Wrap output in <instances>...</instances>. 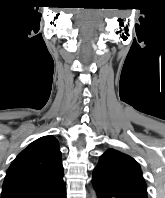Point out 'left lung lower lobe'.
Instances as JSON below:
<instances>
[{
	"label": "left lung lower lobe",
	"instance_id": "left-lung-lower-lobe-1",
	"mask_svg": "<svg viewBox=\"0 0 165 198\" xmlns=\"http://www.w3.org/2000/svg\"><path fill=\"white\" fill-rule=\"evenodd\" d=\"M92 184L98 198H143L142 196L118 187L93 171Z\"/></svg>",
	"mask_w": 165,
	"mask_h": 198
}]
</instances>
